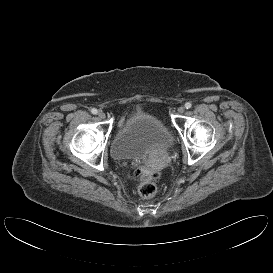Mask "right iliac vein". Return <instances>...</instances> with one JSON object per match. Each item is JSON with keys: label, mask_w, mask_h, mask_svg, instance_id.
Segmentation results:
<instances>
[{"label": "right iliac vein", "mask_w": 273, "mask_h": 273, "mask_svg": "<svg viewBox=\"0 0 273 273\" xmlns=\"http://www.w3.org/2000/svg\"><path fill=\"white\" fill-rule=\"evenodd\" d=\"M98 117L100 119H105L106 116H105V113L101 111V112L98 113Z\"/></svg>", "instance_id": "right-iliac-vein-1"}]
</instances>
